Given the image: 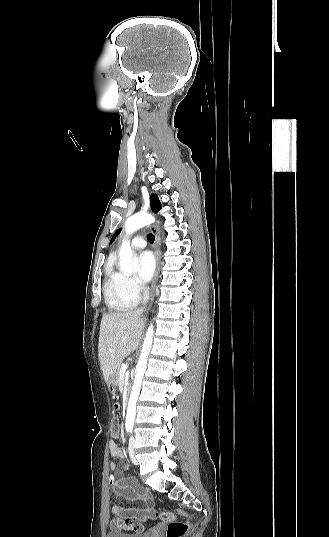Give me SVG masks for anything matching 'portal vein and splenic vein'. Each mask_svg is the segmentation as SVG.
<instances>
[{
  "instance_id": "portal-vein-and-splenic-vein-1",
  "label": "portal vein and splenic vein",
  "mask_w": 329,
  "mask_h": 537,
  "mask_svg": "<svg viewBox=\"0 0 329 537\" xmlns=\"http://www.w3.org/2000/svg\"><path fill=\"white\" fill-rule=\"evenodd\" d=\"M126 370H127V365H126V364H123V365L121 366V372H122L121 375H123V374L125 373Z\"/></svg>"
}]
</instances>
